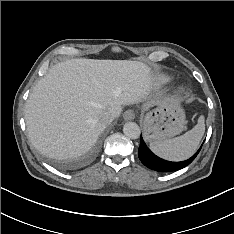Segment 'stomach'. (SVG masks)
<instances>
[{
  "label": "stomach",
  "mask_w": 234,
  "mask_h": 234,
  "mask_svg": "<svg viewBox=\"0 0 234 234\" xmlns=\"http://www.w3.org/2000/svg\"><path fill=\"white\" fill-rule=\"evenodd\" d=\"M185 124L184 110L175 101L160 102L143 116L144 136L149 142L169 140L180 134Z\"/></svg>",
  "instance_id": "stomach-1"
}]
</instances>
